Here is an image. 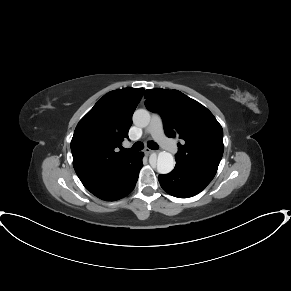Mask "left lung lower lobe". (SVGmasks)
Listing matches in <instances>:
<instances>
[{
	"label": "left lung lower lobe",
	"mask_w": 291,
	"mask_h": 291,
	"mask_svg": "<svg viewBox=\"0 0 291 291\" xmlns=\"http://www.w3.org/2000/svg\"><path fill=\"white\" fill-rule=\"evenodd\" d=\"M216 172L176 162L172 172L159 175L161 187L178 198L192 197L201 192L214 178Z\"/></svg>",
	"instance_id": "left-lung-lower-lobe-1"
}]
</instances>
